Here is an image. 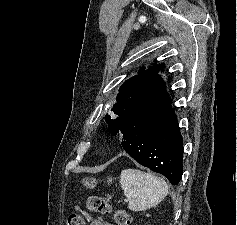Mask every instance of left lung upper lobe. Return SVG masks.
Wrapping results in <instances>:
<instances>
[{"mask_svg": "<svg viewBox=\"0 0 237 225\" xmlns=\"http://www.w3.org/2000/svg\"><path fill=\"white\" fill-rule=\"evenodd\" d=\"M158 66L147 70L142 68L138 75L126 80L119 89L117 102L112 111L116 116H105L109 131L115 135L119 125L126 115L140 107L154 104L169 98L166 85L160 75L157 74Z\"/></svg>", "mask_w": 237, "mask_h": 225, "instance_id": "left-lung-upper-lobe-1", "label": "left lung upper lobe"}]
</instances>
